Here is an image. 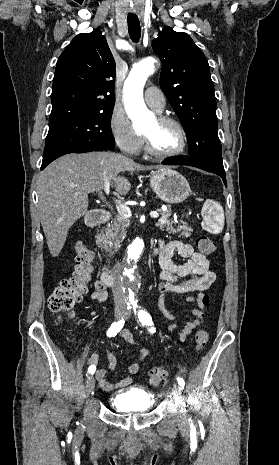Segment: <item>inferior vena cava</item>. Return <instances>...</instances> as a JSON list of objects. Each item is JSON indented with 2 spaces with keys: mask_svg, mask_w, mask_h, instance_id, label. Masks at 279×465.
<instances>
[{
  "mask_svg": "<svg viewBox=\"0 0 279 465\" xmlns=\"http://www.w3.org/2000/svg\"><path fill=\"white\" fill-rule=\"evenodd\" d=\"M112 275L115 279L114 285L112 287L114 301L116 303H123L125 300V294L123 291V284L121 281V264L119 262H117L113 267Z\"/></svg>",
  "mask_w": 279,
  "mask_h": 465,
  "instance_id": "inferior-vena-cava-1",
  "label": "inferior vena cava"
}]
</instances>
